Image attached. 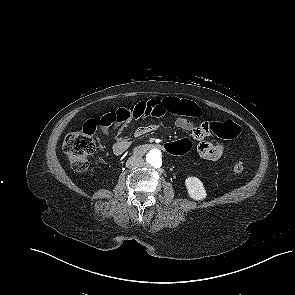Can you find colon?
<instances>
[{"label": "colon", "instance_id": "1", "mask_svg": "<svg viewBox=\"0 0 295 295\" xmlns=\"http://www.w3.org/2000/svg\"><path fill=\"white\" fill-rule=\"evenodd\" d=\"M175 110L179 115L197 118L202 115L201 108L192 101L179 100L175 105ZM101 124L100 118L86 121L79 131L69 133L63 143V150L72 167L80 172L89 169V156L95 151L96 143L94 133ZM210 130L220 138L234 139L240 135V127L232 121L212 122ZM162 151L170 155L184 154L191 149L188 140L178 139L164 141L161 144ZM243 164L238 162L232 167V173L238 175L243 171Z\"/></svg>", "mask_w": 295, "mask_h": 295}]
</instances>
